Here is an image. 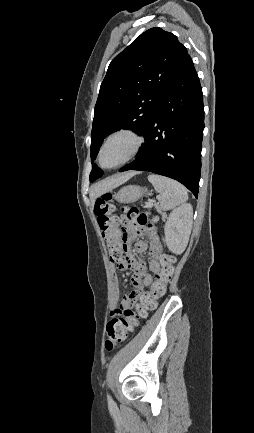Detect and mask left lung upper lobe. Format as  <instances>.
<instances>
[{
  "mask_svg": "<svg viewBox=\"0 0 254 433\" xmlns=\"http://www.w3.org/2000/svg\"><path fill=\"white\" fill-rule=\"evenodd\" d=\"M187 49L177 37L151 28L110 63L95 105L91 133L93 161L106 135L121 128L144 134ZM103 175L92 163L90 181Z\"/></svg>",
  "mask_w": 254,
  "mask_h": 433,
  "instance_id": "left-lung-upper-lobe-1",
  "label": "left lung upper lobe"
}]
</instances>
